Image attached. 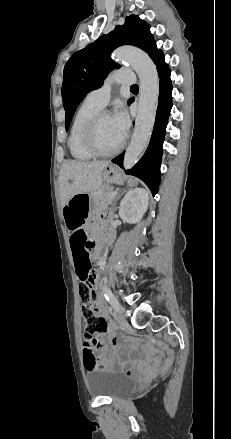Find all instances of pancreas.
<instances>
[{
	"label": "pancreas",
	"mask_w": 231,
	"mask_h": 439,
	"mask_svg": "<svg viewBox=\"0 0 231 439\" xmlns=\"http://www.w3.org/2000/svg\"><path fill=\"white\" fill-rule=\"evenodd\" d=\"M112 189L106 188L102 190L101 192L93 195V202L95 205L96 212H101L106 207L111 204L114 197L110 196V193H112Z\"/></svg>",
	"instance_id": "pancreas-1"
}]
</instances>
